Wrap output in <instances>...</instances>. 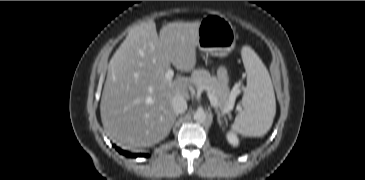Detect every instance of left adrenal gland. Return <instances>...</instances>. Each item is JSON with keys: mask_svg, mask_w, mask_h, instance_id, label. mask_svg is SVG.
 I'll list each match as a JSON object with an SVG mask.
<instances>
[{"mask_svg": "<svg viewBox=\"0 0 365 180\" xmlns=\"http://www.w3.org/2000/svg\"><path fill=\"white\" fill-rule=\"evenodd\" d=\"M215 112L217 114V121H218V123L221 127L222 126V119H224L225 122H227V119H226L225 115L220 113V111L218 109H215Z\"/></svg>", "mask_w": 365, "mask_h": 180, "instance_id": "a2214340", "label": "left adrenal gland"}]
</instances>
